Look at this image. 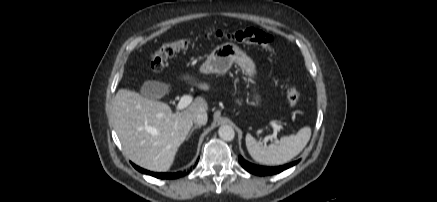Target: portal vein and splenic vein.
<instances>
[{"instance_id":"18ae733b","label":"portal vein and splenic vein","mask_w":437,"mask_h":202,"mask_svg":"<svg viewBox=\"0 0 437 202\" xmlns=\"http://www.w3.org/2000/svg\"><path fill=\"white\" fill-rule=\"evenodd\" d=\"M192 102V97L190 95H184L181 97L179 103L177 104V110H183L185 109L190 103ZM272 127L274 129V133L270 136H267L264 141L267 142L268 140H275L277 138V131L280 130V126L277 125L276 123H271Z\"/></svg>"}]
</instances>
